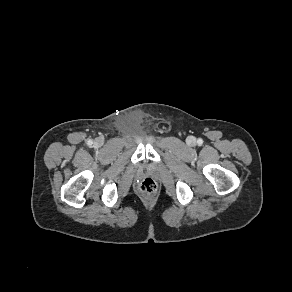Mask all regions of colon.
I'll return each mask as SVG.
<instances>
[{
    "label": "colon",
    "instance_id": "obj_1",
    "mask_svg": "<svg viewBox=\"0 0 292 292\" xmlns=\"http://www.w3.org/2000/svg\"><path fill=\"white\" fill-rule=\"evenodd\" d=\"M140 190L146 195H152L157 190L156 182L151 178L144 179L140 184Z\"/></svg>",
    "mask_w": 292,
    "mask_h": 292
}]
</instances>
